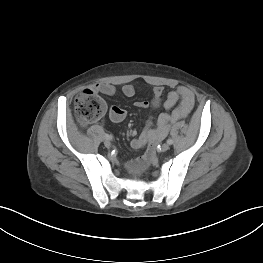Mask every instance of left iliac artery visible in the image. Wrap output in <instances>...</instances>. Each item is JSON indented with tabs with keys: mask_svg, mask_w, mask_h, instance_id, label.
Here are the masks:
<instances>
[{
	"mask_svg": "<svg viewBox=\"0 0 263 263\" xmlns=\"http://www.w3.org/2000/svg\"><path fill=\"white\" fill-rule=\"evenodd\" d=\"M167 143H168L169 145H171V144H173V140H172L171 138H169V139L167 140Z\"/></svg>",
	"mask_w": 263,
	"mask_h": 263,
	"instance_id": "44dca946",
	"label": "left iliac artery"
}]
</instances>
